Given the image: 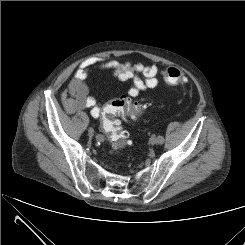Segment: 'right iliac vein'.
Instances as JSON below:
<instances>
[{"mask_svg":"<svg viewBox=\"0 0 245 245\" xmlns=\"http://www.w3.org/2000/svg\"><path fill=\"white\" fill-rule=\"evenodd\" d=\"M88 136H89V137H93V136H94V131H93L92 128H89V129H88Z\"/></svg>","mask_w":245,"mask_h":245,"instance_id":"right-iliac-vein-1","label":"right iliac vein"}]
</instances>
